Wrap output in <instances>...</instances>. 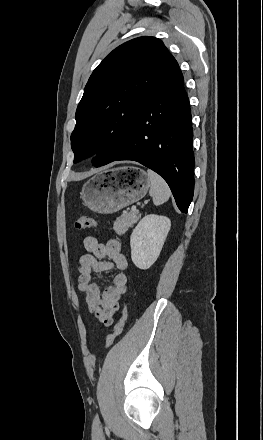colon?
<instances>
[{
    "instance_id": "colon-1",
    "label": "colon",
    "mask_w": 263,
    "mask_h": 440,
    "mask_svg": "<svg viewBox=\"0 0 263 440\" xmlns=\"http://www.w3.org/2000/svg\"><path fill=\"white\" fill-rule=\"evenodd\" d=\"M95 226H96L95 221L86 216L78 217L75 221V228L78 230L91 229L94 228ZM125 317H126L125 312H123L120 320L116 323V325L113 327V329L106 338V344H105L106 347H109L121 333L124 325Z\"/></svg>"
}]
</instances>
